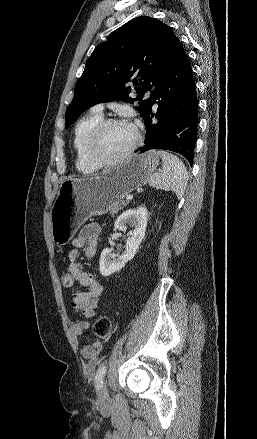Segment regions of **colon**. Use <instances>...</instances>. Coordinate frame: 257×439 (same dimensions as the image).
Returning a JSON list of instances; mask_svg holds the SVG:
<instances>
[{
  "label": "colon",
  "mask_w": 257,
  "mask_h": 439,
  "mask_svg": "<svg viewBox=\"0 0 257 439\" xmlns=\"http://www.w3.org/2000/svg\"><path fill=\"white\" fill-rule=\"evenodd\" d=\"M62 284L64 287H72L74 284V279L69 272H65L62 275ZM93 332L98 338H108L111 334V321L106 316H101L96 319L93 324Z\"/></svg>",
  "instance_id": "colon-1"
}]
</instances>
